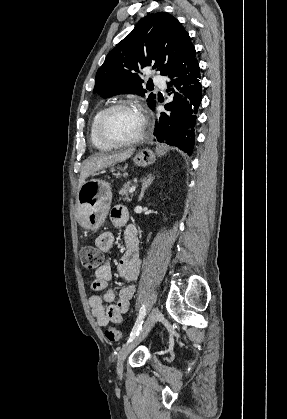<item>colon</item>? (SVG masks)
<instances>
[{
  "instance_id": "1",
  "label": "colon",
  "mask_w": 287,
  "mask_h": 419,
  "mask_svg": "<svg viewBox=\"0 0 287 419\" xmlns=\"http://www.w3.org/2000/svg\"><path fill=\"white\" fill-rule=\"evenodd\" d=\"M81 261L85 270L96 271L103 262V254L97 247L86 246L81 250ZM104 335L109 342H117L122 338L121 331L115 327L107 328Z\"/></svg>"
}]
</instances>
